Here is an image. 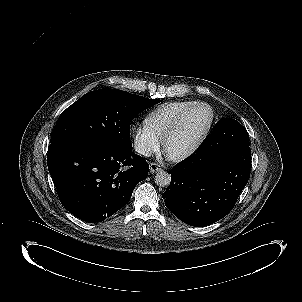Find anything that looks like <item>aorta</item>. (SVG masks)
<instances>
[{"instance_id": "aorta-1", "label": "aorta", "mask_w": 302, "mask_h": 302, "mask_svg": "<svg viewBox=\"0 0 302 302\" xmlns=\"http://www.w3.org/2000/svg\"><path fill=\"white\" fill-rule=\"evenodd\" d=\"M171 182V175L165 171H159L155 175V183L160 187H167Z\"/></svg>"}]
</instances>
